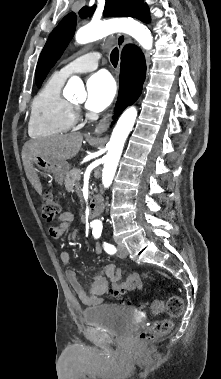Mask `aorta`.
<instances>
[{"instance_id":"obj_1","label":"aorta","mask_w":221,"mask_h":379,"mask_svg":"<svg viewBox=\"0 0 221 379\" xmlns=\"http://www.w3.org/2000/svg\"><path fill=\"white\" fill-rule=\"evenodd\" d=\"M115 32H123L132 36L146 50L152 48L153 37L150 30L132 18H119L99 23H89L77 31L75 38L78 44H86ZM84 94L85 91L81 79L77 76L71 77L64 89V95L66 97L74 95L77 98H82ZM136 117L137 109L133 106L127 108L113 129L110 141L107 144L108 152L104 157V167L102 170V184L104 188H108L112 184L124 143L134 126Z\"/></svg>"}]
</instances>
